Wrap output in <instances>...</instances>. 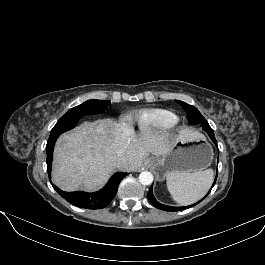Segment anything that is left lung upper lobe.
Wrapping results in <instances>:
<instances>
[{
    "label": "left lung upper lobe",
    "mask_w": 265,
    "mask_h": 265,
    "mask_svg": "<svg viewBox=\"0 0 265 265\" xmlns=\"http://www.w3.org/2000/svg\"><path fill=\"white\" fill-rule=\"evenodd\" d=\"M177 102L183 107V109L187 113L188 122L190 124H202L207 122L197 108L179 100H177Z\"/></svg>",
    "instance_id": "left-lung-upper-lobe-1"
}]
</instances>
